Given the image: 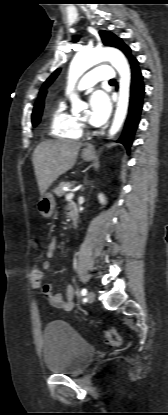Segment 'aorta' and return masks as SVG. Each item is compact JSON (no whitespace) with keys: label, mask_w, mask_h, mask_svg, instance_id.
Returning a JSON list of instances; mask_svg holds the SVG:
<instances>
[{"label":"aorta","mask_w":168,"mask_h":415,"mask_svg":"<svg viewBox=\"0 0 168 415\" xmlns=\"http://www.w3.org/2000/svg\"><path fill=\"white\" fill-rule=\"evenodd\" d=\"M101 61H109L118 71L119 79V96L116 111L112 125L109 130V136H114L121 128L128 110L131 73L128 62L121 51L113 47L99 49L82 50L78 52L69 68V85L67 94L72 102L73 107L81 104L79 98L72 92L73 86L77 79L89 68Z\"/></svg>","instance_id":"1"}]
</instances>
